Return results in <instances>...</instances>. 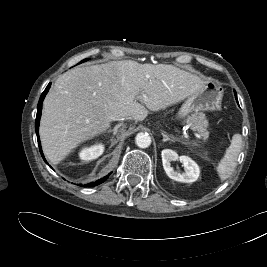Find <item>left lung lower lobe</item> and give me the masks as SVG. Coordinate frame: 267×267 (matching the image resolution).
Here are the masks:
<instances>
[{
	"label": "left lung lower lobe",
	"mask_w": 267,
	"mask_h": 267,
	"mask_svg": "<svg viewBox=\"0 0 267 267\" xmlns=\"http://www.w3.org/2000/svg\"><path fill=\"white\" fill-rule=\"evenodd\" d=\"M235 92V91H234ZM235 97H236V100H237V95H236V92H235Z\"/></svg>",
	"instance_id": "obj_1"
}]
</instances>
